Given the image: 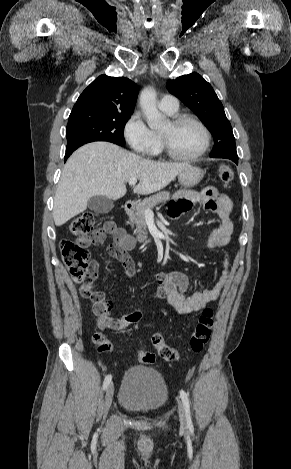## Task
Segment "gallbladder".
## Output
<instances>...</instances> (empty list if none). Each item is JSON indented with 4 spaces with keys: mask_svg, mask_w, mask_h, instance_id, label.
<instances>
[{
    "mask_svg": "<svg viewBox=\"0 0 291 469\" xmlns=\"http://www.w3.org/2000/svg\"><path fill=\"white\" fill-rule=\"evenodd\" d=\"M88 208L98 214H104L110 212L113 207V201L105 196L97 195L93 196L88 200Z\"/></svg>",
    "mask_w": 291,
    "mask_h": 469,
    "instance_id": "obj_1",
    "label": "gallbladder"
}]
</instances>
